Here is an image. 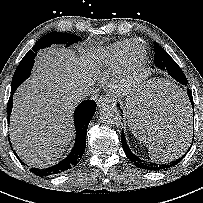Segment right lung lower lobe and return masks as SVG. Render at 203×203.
<instances>
[{"label":"right lung lower lobe","instance_id":"right-lung-lower-lobe-1","mask_svg":"<svg viewBox=\"0 0 203 203\" xmlns=\"http://www.w3.org/2000/svg\"><path fill=\"white\" fill-rule=\"evenodd\" d=\"M29 60H33L35 58V52L34 51H29L27 53ZM15 90L11 89V96L9 98L8 104H7V114H8V122L12 110V105H13V97L12 95L14 94ZM96 103L92 100H85L82 103L78 105L74 112V122H75V128H76V141L74 144V147L70 154L61 162L45 168V169H39V168H31L30 171L34 173L37 176L40 177H46V176H51V175H56L60 174L72 167H74L81 159L85 147H86V133H87V128L88 124L91 120V118L94 116V113L96 111ZM16 157L19 159L17 156L16 152H14ZM20 160V159H19ZM22 163V161L20 160ZM24 164V163H23Z\"/></svg>","mask_w":203,"mask_h":203}]
</instances>
